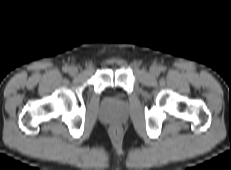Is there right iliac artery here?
Segmentation results:
<instances>
[{
    "label": "right iliac artery",
    "instance_id": "right-iliac-artery-1",
    "mask_svg": "<svg viewBox=\"0 0 231 170\" xmlns=\"http://www.w3.org/2000/svg\"><path fill=\"white\" fill-rule=\"evenodd\" d=\"M63 71H64V72H68V71H69V67H68V66H64V67H63Z\"/></svg>",
    "mask_w": 231,
    "mask_h": 170
}]
</instances>
